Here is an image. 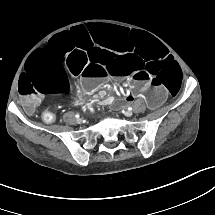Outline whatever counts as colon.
Returning <instances> with one entry per match:
<instances>
[{
	"mask_svg": "<svg viewBox=\"0 0 215 215\" xmlns=\"http://www.w3.org/2000/svg\"><path fill=\"white\" fill-rule=\"evenodd\" d=\"M42 117L46 123H52L54 121V114L49 109H47L43 112Z\"/></svg>",
	"mask_w": 215,
	"mask_h": 215,
	"instance_id": "colon-1",
	"label": "colon"
}]
</instances>
